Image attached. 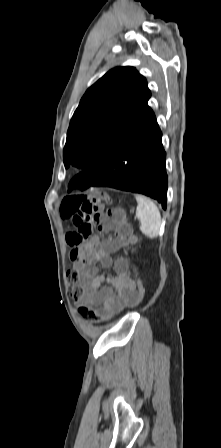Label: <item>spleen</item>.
<instances>
[{
  "mask_svg": "<svg viewBox=\"0 0 221 448\" xmlns=\"http://www.w3.org/2000/svg\"><path fill=\"white\" fill-rule=\"evenodd\" d=\"M138 203L136 216L140 221L141 232L154 239L158 237L161 226V214L158 207L149 198L142 195H135Z\"/></svg>",
  "mask_w": 221,
  "mask_h": 448,
  "instance_id": "spleen-1",
  "label": "spleen"
}]
</instances>
